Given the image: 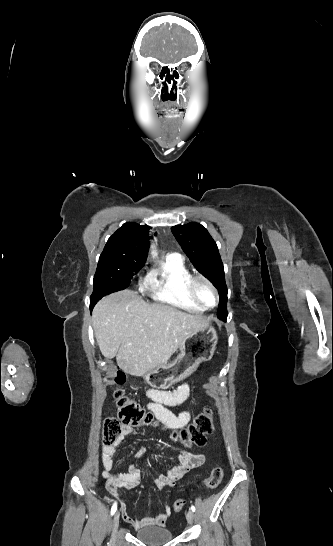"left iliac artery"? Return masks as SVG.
Returning a JSON list of instances; mask_svg holds the SVG:
<instances>
[{"label":"left iliac artery","mask_w":333,"mask_h":546,"mask_svg":"<svg viewBox=\"0 0 333 546\" xmlns=\"http://www.w3.org/2000/svg\"><path fill=\"white\" fill-rule=\"evenodd\" d=\"M191 510L194 512L195 511V507L192 505L191 506Z\"/></svg>","instance_id":"44dca946"}]
</instances>
